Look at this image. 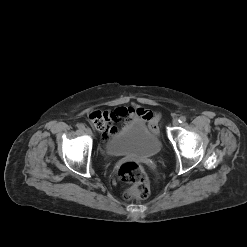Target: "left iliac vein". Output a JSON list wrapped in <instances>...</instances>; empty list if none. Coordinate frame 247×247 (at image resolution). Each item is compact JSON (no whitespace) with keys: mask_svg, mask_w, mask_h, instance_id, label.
Here are the masks:
<instances>
[{"mask_svg":"<svg viewBox=\"0 0 247 247\" xmlns=\"http://www.w3.org/2000/svg\"><path fill=\"white\" fill-rule=\"evenodd\" d=\"M172 124H173V126H178L179 125V120L178 119H174Z\"/></svg>","mask_w":247,"mask_h":247,"instance_id":"obj_1","label":"left iliac vein"}]
</instances>
